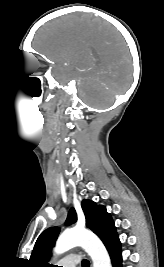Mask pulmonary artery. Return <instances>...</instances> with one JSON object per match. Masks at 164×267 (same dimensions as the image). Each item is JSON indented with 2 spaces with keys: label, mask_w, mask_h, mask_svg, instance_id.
<instances>
[{
  "label": "pulmonary artery",
  "mask_w": 164,
  "mask_h": 267,
  "mask_svg": "<svg viewBox=\"0 0 164 267\" xmlns=\"http://www.w3.org/2000/svg\"><path fill=\"white\" fill-rule=\"evenodd\" d=\"M79 262H80V259L76 257L75 255H73L71 257L65 258L62 261L61 265L62 267H76Z\"/></svg>",
  "instance_id": "e3ab8cb5"
}]
</instances>
